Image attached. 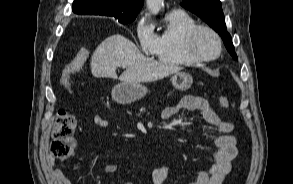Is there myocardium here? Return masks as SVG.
I'll list each match as a JSON object with an SVG mask.
<instances>
[{
	"label": "myocardium",
	"mask_w": 293,
	"mask_h": 184,
	"mask_svg": "<svg viewBox=\"0 0 293 184\" xmlns=\"http://www.w3.org/2000/svg\"><path fill=\"white\" fill-rule=\"evenodd\" d=\"M202 31H206V32L210 33L217 41L218 51L213 56H208V57L202 56V55L198 54L194 48L195 39H196L197 35ZM183 48H184L186 55L190 59L195 61L196 63L210 62V61H214L220 57V55L222 53V49H223V43H222L221 37L214 29H212L211 27L206 26V25H196L195 27H193L192 29H190L186 33V35L184 37V41H183Z\"/></svg>",
	"instance_id": "myocardium-1"
}]
</instances>
